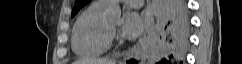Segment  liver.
I'll return each mask as SVG.
<instances>
[{
	"label": "liver",
	"mask_w": 242,
	"mask_h": 64,
	"mask_svg": "<svg viewBox=\"0 0 242 64\" xmlns=\"http://www.w3.org/2000/svg\"><path fill=\"white\" fill-rule=\"evenodd\" d=\"M73 64H116V62L109 59H85L75 61Z\"/></svg>",
	"instance_id": "obj_1"
}]
</instances>
